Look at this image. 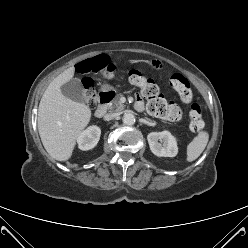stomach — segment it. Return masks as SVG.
<instances>
[{"label": "stomach", "instance_id": "0dacf381", "mask_svg": "<svg viewBox=\"0 0 248 248\" xmlns=\"http://www.w3.org/2000/svg\"><path fill=\"white\" fill-rule=\"evenodd\" d=\"M110 90H111V87L109 85L105 84V85L102 86V91L103 92H108Z\"/></svg>", "mask_w": 248, "mask_h": 248}]
</instances>
